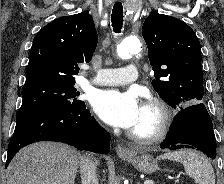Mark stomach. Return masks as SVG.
Masks as SVG:
<instances>
[{
  "label": "stomach",
  "instance_id": "1",
  "mask_svg": "<svg viewBox=\"0 0 224 184\" xmlns=\"http://www.w3.org/2000/svg\"><path fill=\"white\" fill-rule=\"evenodd\" d=\"M122 159L131 163L137 171L144 174L154 173L158 169L157 161L148 154L122 157Z\"/></svg>",
  "mask_w": 224,
  "mask_h": 184
}]
</instances>
